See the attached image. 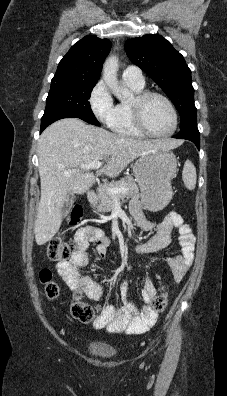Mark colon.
Returning a JSON list of instances; mask_svg holds the SVG:
<instances>
[{
  "mask_svg": "<svg viewBox=\"0 0 227 396\" xmlns=\"http://www.w3.org/2000/svg\"><path fill=\"white\" fill-rule=\"evenodd\" d=\"M82 217V209L75 206L70 214L69 222L71 225L79 223ZM76 244L73 241L66 240L62 235L53 237L47 245V256L52 261L67 260L74 253ZM40 281L45 286L48 297L55 298L59 294V285L54 280L50 270L43 269L40 272ZM168 305L167 294L162 291L151 301V307L156 313L165 311ZM70 311L72 316L83 323L92 322L97 315L98 308L85 303L81 299L80 293H75L71 303Z\"/></svg>",
  "mask_w": 227,
  "mask_h": 396,
  "instance_id": "colon-1",
  "label": "colon"
}]
</instances>
